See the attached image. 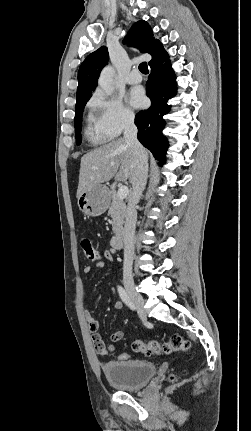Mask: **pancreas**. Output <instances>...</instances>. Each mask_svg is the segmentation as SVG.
<instances>
[{"label":"pancreas","mask_w":251,"mask_h":431,"mask_svg":"<svg viewBox=\"0 0 251 431\" xmlns=\"http://www.w3.org/2000/svg\"><path fill=\"white\" fill-rule=\"evenodd\" d=\"M111 201L108 215L112 218V230L116 236H121L123 233L124 218L126 216V204L122 199H119L116 191H110Z\"/></svg>","instance_id":"pancreas-1"}]
</instances>
